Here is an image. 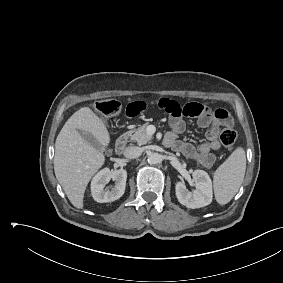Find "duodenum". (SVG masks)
<instances>
[{"mask_svg":"<svg viewBox=\"0 0 283 283\" xmlns=\"http://www.w3.org/2000/svg\"><path fill=\"white\" fill-rule=\"evenodd\" d=\"M129 139V133L125 132L122 135L119 136V138L117 139L116 143H115V152L117 154H121L123 152V150L125 149L127 142Z\"/></svg>","mask_w":283,"mask_h":283,"instance_id":"duodenum-1","label":"duodenum"}]
</instances>
